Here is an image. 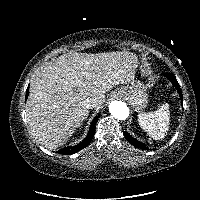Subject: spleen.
<instances>
[{"instance_id": "1", "label": "spleen", "mask_w": 200, "mask_h": 200, "mask_svg": "<svg viewBox=\"0 0 200 200\" xmlns=\"http://www.w3.org/2000/svg\"><path fill=\"white\" fill-rule=\"evenodd\" d=\"M140 127L153 139H163L169 130V105H159L154 112H141L138 114Z\"/></svg>"}]
</instances>
